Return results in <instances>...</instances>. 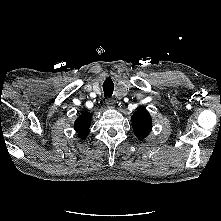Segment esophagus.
Returning <instances> with one entry per match:
<instances>
[{
  "mask_svg": "<svg viewBox=\"0 0 221 221\" xmlns=\"http://www.w3.org/2000/svg\"><path fill=\"white\" fill-rule=\"evenodd\" d=\"M106 103H107L108 108H114L115 107V100H113L111 98H108L106 100Z\"/></svg>",
  "mask_w": 221,
  "mask_h": 221,
  "instance_id": "obj_1",
  "label": "esophagus"
}]
</instances>
